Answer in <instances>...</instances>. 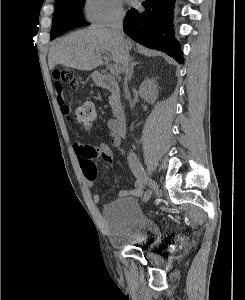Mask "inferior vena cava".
<instances>
[{
	"mask_svg": "<svg viewBox=\"0 0 245 300\" xmlns=\"http://www.w3.org/2000/svg\"><path fill=\"white\" fill-rule=\"evenodd\" d=\"M123 19H124V14L123 13L118 14L114 18L111 28H112L113 32L115 33L116 37L119 39V41L122 44L123 52H124L123 66H124L125 74L127 75L129 72V43L124 38Z\"/></svg>",
	"mask_w": 245,
	"mask_h": 300,
	"instance_id": "obj_1",
	"label": "inferior vena cava"
}]
</instances>
